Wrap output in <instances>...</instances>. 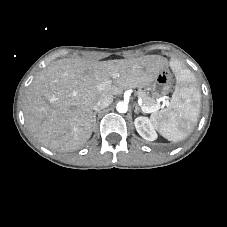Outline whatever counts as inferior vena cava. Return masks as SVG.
<instances>
[{"mask_svg":"<svg viewBox=\"0 0 227 227\" xmlns=\"http://www.w3.org/2000/svg\"><path fill=\"white\" fill-rule=\"evenodd\" d=\"M112 102H113L112 95H104L96 102V104L93 106V109L95 111H100L108 107Z\"/></svg>","mask_w":227,"mask_h":227,"instance_id":"1","label":"inferior vena cava"}]
</instances>
